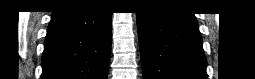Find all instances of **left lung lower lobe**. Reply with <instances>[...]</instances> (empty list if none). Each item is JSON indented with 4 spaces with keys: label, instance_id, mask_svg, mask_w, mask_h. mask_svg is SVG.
<instances>
[{
    "label": "left lung lower lobe",
    "instance_id": "left-lung-lower-lobe-1",
    "mask_svg": "<svg viewBox=\"0 0 255 79\" xmlns=\"http://www.w3.org/2000/svg\"><path fill=\"white\" fill-rule=\"evenodd\" d=\"M137 27L144 79H207L193 14L163 6L155 12H138Z\"/></svg>",
    "mask_w": 255,
    "mask_h": 79
}]
</instances>
